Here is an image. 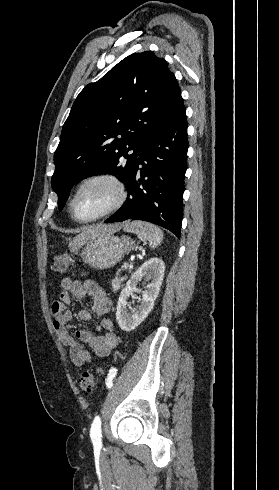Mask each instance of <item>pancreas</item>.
Here are the masks:
<instances>
[{
    "mask_svg": "<svg viewBox=\"0 0 279 490\" xmlns=\"http://www.w3.org/2000/svg\"><path fill=\"white\" fill-rule=\"evenodd\" d=\"M123 280H125V278H121L119 272H117V276H115V280H112L111 290H113V292H117V290H119L120 284H121V282H123Z\"/></svg>",
    "mask_w": 279,
    "mask_h": 490,
    "instance_id": "pancreas-1",
    "label": "pancreas"
}]
</instances>
